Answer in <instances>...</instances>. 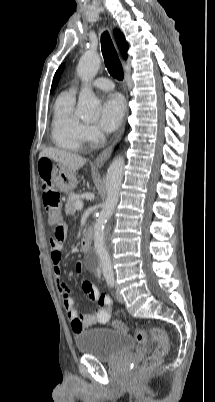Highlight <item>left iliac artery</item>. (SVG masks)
Masks as SVG:
<instances>
[{
  "label": "left iliac artery",
  "instance_id": "obj_1",
  "mask_svg": "<svg viewBox=\"0 0 215 402\" xmlns=\"http://www.w3.org/2000/svg\"><path fill=\"white\" fill-rule=\"evenodd\" d=\"M106 281H107V284H108L109 286H111V287H113L114 284H115V280H114L113 277H108V278L106 279Z\"/></svg>",
  "mask_w": 215,
  "mask_h": 402
}]
</instances>
